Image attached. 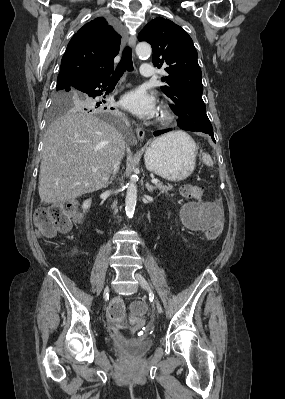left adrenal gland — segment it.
<instances>
[{
	"label": "left adrenal gland",
	"instance_id": "a2214340",
	"mask_svg": "<svg viewBox=\"0 0 285 399\" xmlns=\"http://www.w3.org/2000/svg\"><path fill=\"white\" fill-rule=\"evenodd\" d=\"M145 187L150 193H152L154 191V189H155V187L152 186V185H149L148 182L145 184Z\"/></svg>",
	"mask_w": 285,
	"mask_h": 399
}]
</instances>
